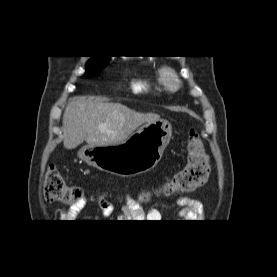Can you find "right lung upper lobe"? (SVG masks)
<instances>
[{"label":"right lung upper lobe","instance_id":"1","mask_svg":"<svg viewBox=\"0 0 277 277\" xmlns=\"http://www.w3.org/2000/svg\"><path fill=\"white\" fill-rule=\"evenodd\" d=\"M92 59H96V58H92ZM100 60H105V58H103V56L101 58H99Z\"/></svg>","mask_w":277,"mask_h":277}]
</instances>
